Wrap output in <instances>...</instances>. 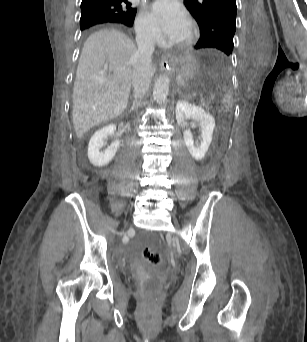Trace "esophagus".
Segmentation results:
<instances>
[{
	"label": "esophagus",
	"instance_id": "1",
	"mask_svg": "<svg viewBox=\"0 0 307 342\" xmlns=\"http://www.w3.org/2000/svg\"><path fill=\"white\" fill-rule=\"evenodd\" d=\"M172 60H173L172 55H166V56L163 58V61L166 62V63L172 62Z\"/></svg>",
	"mask_w": 307,
	"mask_h": 342
}]
</instances>
